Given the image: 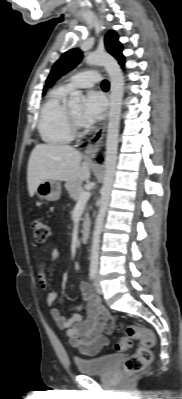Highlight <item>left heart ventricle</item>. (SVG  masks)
I'll list each match as a JSON object with an SVG mask.
<instances>
[{
	"mask_svg": "<svg viewBox=\"0 0 182 399\" xmlns=\"http://www.w3.org/2000/svg\"><path fill=\"white\" fill-rule=\"evenodd\" d=\"M70 111L72 115L80 122L81 107L72 108Z\"/></svg>",
	"mask_w": 182,
	"mask_h": 399,
	"instance_id": "left-heart-ventricle-1",
	"label": "left heart ventricle"
}]
</instances>
